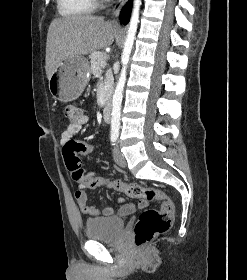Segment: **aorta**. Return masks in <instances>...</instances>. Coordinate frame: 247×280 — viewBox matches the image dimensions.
Listing matches in <instances>:
<instances>
[{
  "mask_svg": "<svg viewBox=\"0 0 247 280\" xmlns=\"http://www.w3.org/2000/svg\"><path fill=\"white\" fill-rule=\"evenodd\" d=\"M141 0H134V7L132 11L129 28L127 31V37L124 43L123 53L121 57L122 70L113 94L112 98V113H111V135L118 136L120 129V117H121V104L123 98V90L126 81L127 64L130 59L131 50L134 44L135 35L137 32V26L139 22V10Z\"/></svg>",
  "mask_w": 247,
  "mask_h": 280,
  "instance_id": "aorta-1",
  "label": "aorta"
}]
</instances>
